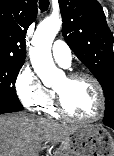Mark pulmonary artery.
Here are the masks:
<instances>
[{
	"instance_id": "obj_1",
	"label": "pulmonary artery",
	"mask_w": 114,
	"mask_h": 156,
	"mask_svg": "<svg viewBox=\"0 0 114 156\" xmlns=\"http://www.w3.org/2000/svg\"><path fill=\"white\" fill-rule=\"evenodd\" d=\"M52 55L54 60L63 67H68L71 63V50L69 46L62 40L54 42L52 47Z\"/></svg>"
}]
</instances>
